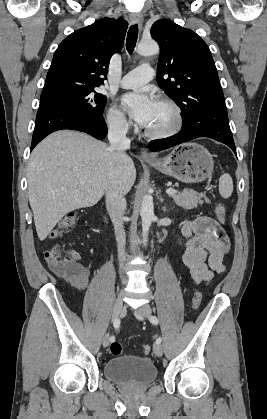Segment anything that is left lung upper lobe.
<instances>
[{
    "instance_id": "5c2ea615",
    "label": "left lung upper lobe",
    "mask_w": 267,
    "mask_h": 419,
    "mask_svg": "<svg viewBox=\"0 0 267 419\" xmlns=\"http://www.w3.org/2000/svg\"><path fill=\"white\" fill-rule=\"evenodd\" d=\"M151 36L160 46L157 83L180 107L183 123L204 112L227 111L211 52L200 36L166 19L152 25Z\"/></svg>"
}]
</instances>
